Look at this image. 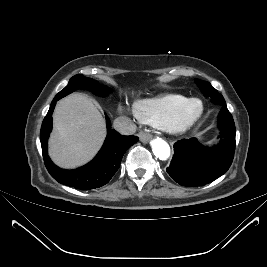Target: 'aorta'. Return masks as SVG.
Listing matches in <instances>:
<instances>
[{"label": "aorta", "mask_w": 267, "mask_h": 267, "mask_svg": "<svg viewBox=\"0 0 267 267\" xmlns=\"http://www.w3.org/2000/svg\"><path fill=\"white\" fill-rule=\"evenodd\" d=\"M151 147L154 155L160 160H167L170 156V146L161 138H155L151 141Z\"/></svg>", "instance_id": "1"}]
</instances>
